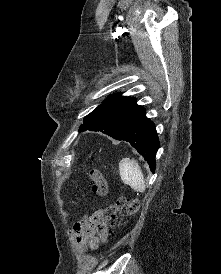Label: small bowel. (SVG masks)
<instances>
[{
	"instance_id": "obj_1",
	"label": "small bowel",
	"mask_w": 221,
	"mask_h": 274,
	"mask_svg": "<svg viewBox=\"0 0 221 274\" xmlns=\"http://www.w3.org/2000/svg\"><path fill=\"white\" fill-rule=\"evenodd\" d=\"M102 214L103 211L99 210L92 215L84 216L74 224L72 236L80 251L87 247L92 250L97 248Z\"/></svg>"
}]
</instances>
